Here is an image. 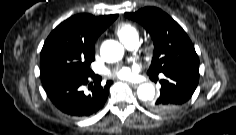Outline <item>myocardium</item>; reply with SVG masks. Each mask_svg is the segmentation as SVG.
<instances>
[{"label":"myocardium","instance_id":"obj_1","mask_svg":"<svg viewBox=\"0 0 236 135\" xmlns=\"http://www.w3.org/2000/svg\"><path fill=\"white\" fill-rule=\"evenodd\" d=\"M147 50L150 51V50H151V47H148Z\"/></svg>","mask_w":236,"mask_h":135}]
</instances>
